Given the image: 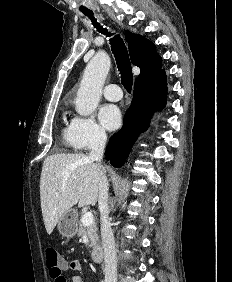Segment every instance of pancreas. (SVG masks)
<instances>
[{
	"label": "pancreas",
	"mask_w": 232,
	"mask_h": 282,
	"mask_svg": "<svg viewBox=\"0 0 232 282\" xmlns=\"http://www.w3.org/2000/svg\"><path fill=\"white\" fill-rule=\"evenodd\" d=\"M79 228L77 230L79 236L86 235L87 238L90 240V247L94 248L97 244V241L99 239L97 231V225L95 222H93L89 226H85L82 221L80 220L79 223Z\"/></svg>",
	"instance_id": "1"
}]
</instances>
